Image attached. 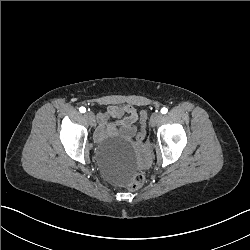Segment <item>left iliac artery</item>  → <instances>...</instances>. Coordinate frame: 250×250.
Segmentation results:
<instances>
[{"label": "left iliac artery", "mask_w": 250, "mask_h": 250, "mask_svg": "<svg viewBox=\"0 0 250 250\" xmlns=\"http://www.w3.org/2000/svg\"><path fill=\"white\" fill-rule=\"evenodd\" d=\"M168 112V109L166 108V107H163L162 109H161V113L162 114H166Z\"/></svg>", "instance_id": "obj_1"}]
</instances>
